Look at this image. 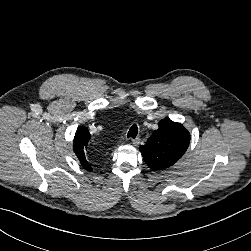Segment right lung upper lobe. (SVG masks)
<instances>
[{
  "label": "right lung upper lobe",
  "mask_w": 251,
  "mask_h": 251,
  "mask_svg": "<svg viewBox=\"0 0 251 251\" xmlns=\"http://www.w3.org/2000/svg\"><path fill=\"white\" fill-rule=\"evenodd\" d=\"M90 137L91 135L88 132V129L84 126H81L76 131L73 143L74 152L76 156L78 157L82 166L89 171L92 170V167L89 161L86 159L85 149L87 147Z\"/></svg>",
  "instance_id": "obj_1"
}]
</instances>
